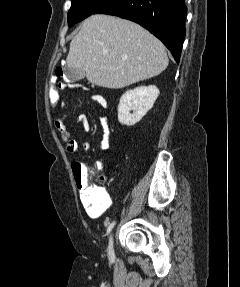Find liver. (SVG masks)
Returning a JSON list of instances; mask_svg holds the SVG:
<instances>
[{"label":"liver","instance_id":"1","mask_svg":"<svg viewBox=\"0 0 240 287\" xmlns=\"http://www.w3.org/2000/svg\"><path fill=\"white\" fill-rule=\"evenodd\" d=\"M164 45L140 25L109 15L87 18L70 43L68 68L82 69L88 81L120 89L155 77L168 66Z\"/></svg>","mask_w":240,"mask_h":287}]
</instances>
